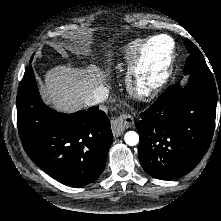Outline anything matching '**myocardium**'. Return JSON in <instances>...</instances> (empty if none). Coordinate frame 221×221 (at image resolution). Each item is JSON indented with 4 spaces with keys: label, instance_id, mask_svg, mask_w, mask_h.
<instances>
[{
    "label": "myocardium",
    "instance_id": "1",
    "mask_svg": "<svg viewBox=\"0 0 221 221\" xmlns=\"http://www.w3.org/2000/svg\"><path fill=\"white\" fill-rule=\"evenodd\" d=\"M158 37H165L170 42V48L162 60L149 65V49ZM176 59L174 39L167 34L150 36L143 40L127 70V87L130 93L139 100L154 99L161 87L169 80Z\"/></svg>",
    "mask_w": 221,
    "mask_h": 221
}]
</instances>
